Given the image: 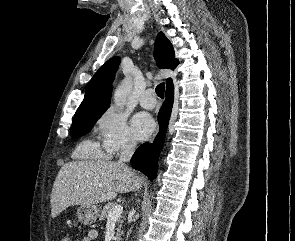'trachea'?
I'll return each instance as SVG.
<instances>
[{
  "instance_id": "3493384b",
  "label": "trachea",
  "mask_w": 295,
  "mask_h": 241,
  "mask_svg": "<svg viewBox=\"0 0 295 241\" xmlns=\"http://www.w3.org/2000/svg\"><path fill=\"white\" fill-rule=\"evenodd\" d=\"M155 91L160 98H164L165 84L160 83L159 85H157Z\"/></svg>"
}]
</instances>
